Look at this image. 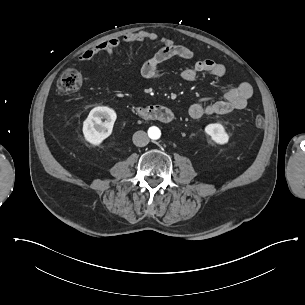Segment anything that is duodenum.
<instances>
[{
  "mask_svg": "<svg viewBox=\"0 0 305 305\" xmlns=\"http://www.w3.org/2000/svg\"><path fill=\"white\" fill-rule=\"evenodd\" d=\"M137 116L148 122L168 124L173 119V114L169 109L160 105H139L136 107Z\"/></svg>",
  "mask_w": 305,
  "mask_h": 305,
  "instance_id": "1",
  "label": "duodenum"
}]
</instances>
